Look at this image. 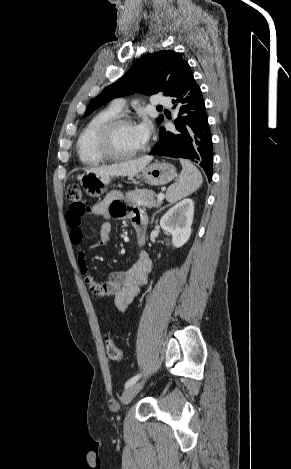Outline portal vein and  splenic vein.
I'll list each match as a JSON object with an SVG mask.
<instances>
[{"mask_svg":"<svg viewBox=\"0 0 291 469\" xmlns=\"http://www.w3.org/2000/svg\"><path fill=\"white\" fill-rule=\"evenodd\" d=\"M163 199H164V194L163 193L158 194L157 200L162 201Z\"/></svg>","mask_w":291,"mask_h":469,"instance_id":"portal-vein-and-splenic-vein-1","label":"portal vein and splenic vein"}]
</instances>
